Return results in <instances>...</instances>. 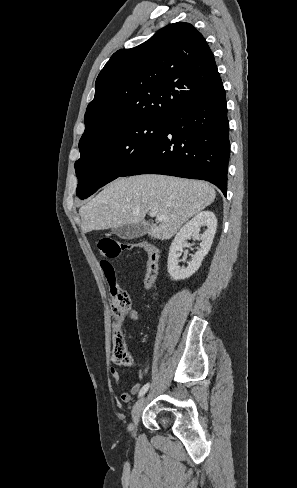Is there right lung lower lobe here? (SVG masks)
<instances>
[{
	"instance_id": "98d812e1",
	"label": "right lung lower lobe",
	"mask_w": 297,
	"mask_h": 488,
	"mask_svg": "<svg viewBox=\"0 0 297 488\" xmlns=\"http://www.w3.org/2000/svg\"><path fill=\"white\" fill-rule=\"evenodd\" d=\"M227 103L222 83L171 116L158 139L123 176L163 174L201 179L226 196L230 155Z\"/></svg>"
}]
</instances>
